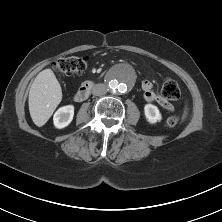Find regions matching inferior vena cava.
Instances as JSON below:
<instances>
[{"instance_id": "602c4592", "label": "inferior vena cava", "mask_w": 222, "mask_h": 222, "mask_svg": "<svg viewBox=\"0 0 222 222\" xmlns=\"http://www.w3.org/2000/svg\"><path fill=\"white\" fill-rule=\"evenodd\" d=\"M107 86L105 84H96L93 88H92V94L95 96H101L107 93Z\"/></svg>"}]
</instances>
